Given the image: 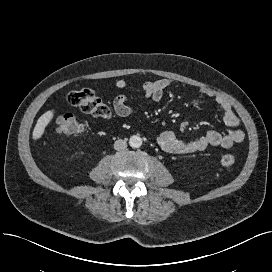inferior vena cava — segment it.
<instances>
[{"mask_svg": "<svg viewBox=\"0 0 272 272\" xmlns=\"http://www.w3.org/2000/svg\"><path fill=\"white\" fill-rule=\"evenodd\" d=\"M126 148H127V143H126L125 140L118 139V140L115 141V143H114V149L115 150L120 151V150H124Z\"/></svg>", "mask_w": 272, "mask_h": 272, "instance_id": "obj_1", "label": "inferior vena cava"}]
</instances>
